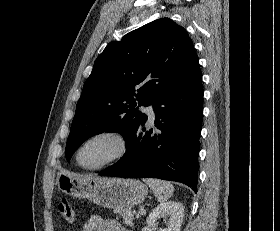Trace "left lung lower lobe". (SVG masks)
Wrapping results in <instances>:
<instances>
[{
	"label": "left lung lower lobe",
	"instance_id": "left-lung-lower-lobe-1",
	"mask_svg": "<svg viewBox=\"0 0 280 231\" xmlns=\"http://www.w3.org/2000/svg\"><path fill=\"white\" fill-rule=\"evenodd\" d=\"M152 105L158 131H146L145 116L127 138L125 156L99 174L176 181L196 193L203 116L200 68L164 92Z\"/></svg>",
	"mask_w": 280,
	"mask_h": 231
}]
</instances>
